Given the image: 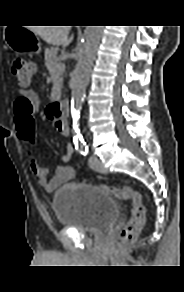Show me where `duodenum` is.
Instances as JSON below:
<instances>
[{
	"mask_svg": "<svg viewBox=\"0 0 184 292\" xmlns=\"http://www.w3.org/2000/svg\"><path fill=\"white\" fill-rule=\"evenodd\" d=\"M47 113L53 117L52 120L62 122L68 119L70 107L67 101L56 100L48 106Z\"/></svg>",
	"mask_w": 184,
	"mask_h": 292,
	"instance_id": "1",
	"label": "duodenum"
}]
</instances>
